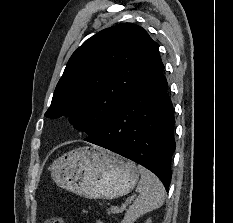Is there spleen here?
<instances>
[{"label": "spleen", "mask_w": 233, "mask_h": 223, "mask_svg": "<svg viewBox=\"0 0 233 223\" xmlns=\"http://www.w3.org/2000/svg\"><path fill=\"white\" fill-rule=\"evenodd\" d=\"M139 171L141 179L136 187L139 195L127 209L121 223H134L138 217H141L147 211H153V209L161 207L166 197L165 187L154 173H151L145 167H141V165Z\"/></svg>", "instance_id": "spleen-1"}]
</instances>
